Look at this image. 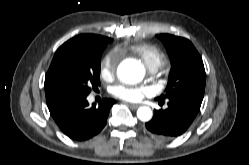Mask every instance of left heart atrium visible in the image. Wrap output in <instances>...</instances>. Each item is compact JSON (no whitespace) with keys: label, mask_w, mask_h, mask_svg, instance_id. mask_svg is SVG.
Segmentation results:
<instances>
[{"label":"left heart atrium","mask_w":249,"mask_h":165,"mask_svg":"<svg viewBox=\"0 0 249 165\" xmlns=\"http://www.w3.org/2000/svg\"><path fill=\"white\" fill-rule=\"evenodd\" d=\"M112 92L122 100L137 102L149 93V88L144 86L116 85Z\"/></svg>","instance_id":"39dd6f15"}]
</instances>
